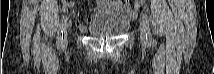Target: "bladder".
<instances>
[{
	"label": "bladder",
	"instance_id": "obj_1",
	"mask_svg": "<svg viewBox=\"0 0 214 74\" xmlns=\"http://www.w3.org/2000/svg\"><path fill=\"white\" fill-rule=\"evenodd\" d=\"M130 26V20L122 8H110L98 13L87 28L92 36L115 37L124 34Z\"/></svg>",
	"mask_w": 214,
	"mask_h": 74
}]
</instances>
